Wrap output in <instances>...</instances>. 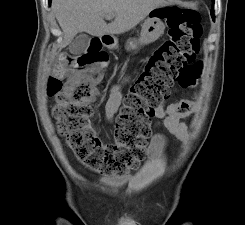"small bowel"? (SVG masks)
<instances>
[{"instance_id": "c3829d8e", "label": "small bowel", "mask_w": 245, "mask_h": 225, "mask_svg": "<svg viewBox=\"0 0 245 225\" xmlns=\"http://www.w3.org/2000/svg\"><path fill=\"white\" fill-rule=\"evenodd\" d=\"M131 76L124 77L120 82L113 84L109 90L107 100L104 105V118L107 123L113 124L122 103V90L131 81ZM156 124L162 123L170 134L179 140L186 138L185 128L180 122V117L176 114V104L162 102L156 108L154 115ZM165 138L162 135H155L151 138V144L147 155L150 157L159 156L164 148Z\"/></svg>"}]
</instances>
